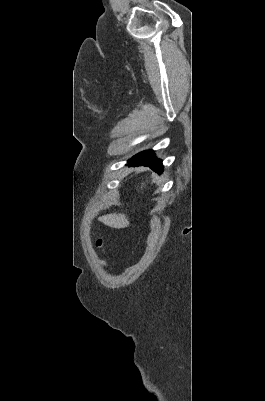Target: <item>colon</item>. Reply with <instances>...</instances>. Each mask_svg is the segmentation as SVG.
Returning <instances> with one entry per match:
<instances>
[{"mask_svg": "<svg viewBox=\"0 0 265 401\" xmlns=\"http://www.w3.org/2000/svg\"><path fill=\"white\" fill-rule=\"evenodd\" d=\"M96 245H97L98 247H100V246L102 245V242H101L100 239H98V240L96 241Z\"/></svg>", "mask_w": 265, "mask_h": 401, "instance_id": "1", "label": "colon"}]
</instances>
